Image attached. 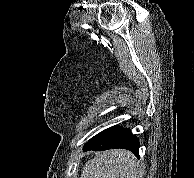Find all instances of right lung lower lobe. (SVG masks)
I'll use <instances>...</instances> for the list:
<instances>
[{
	"mask_svg": "<svg viewBox=\"0 0 194 178\" xmlns=\"http://www.w3.org/2000/svg\"><path fill=\"white\" fill-rule=\"evenodd\" d=\"M84 148L93 151L124 148L138 155L139 141L132 135L130 129L114 126L94 136Z\"/></svg>",
	"mask_w": 194,
	"mask_h": 178,
	"instance_id": "obj_1",
	"label": "right lung lower lobe"
}]
</instances>
